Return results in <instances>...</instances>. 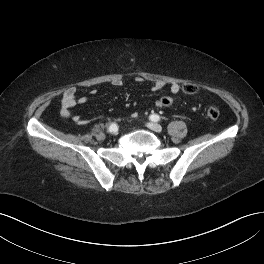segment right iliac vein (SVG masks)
I'll return each instance as SVG.
<instances>
[{
    "instance_id": "obj_1",
    "label": "right iliac vein",
    "mask_w": 264,
    "mask_h": 264,
    "mask_svg": "<svg viewBox=\"0 0 264 264\" xmlns=\"http://www.w3.org/2000/svg\"><path fill=\"white\" fill-rule=\"evenodd\" d=\"M112 135H117L118 134V129H114L110 132Z\"/></svg>"
}]
</instances>
